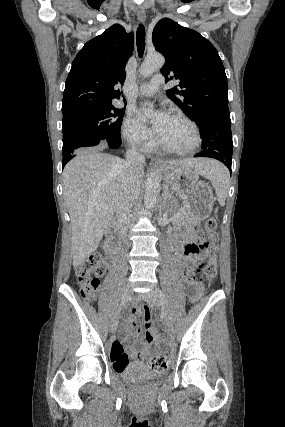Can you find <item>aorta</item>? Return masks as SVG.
Returning <instances> with one entry per match:
<instances>
[{"label":"aorta","instance_id":"aorta-1","mask_svg":"<svg viewBox=\"0 0 285 427\" xmlns=\"http://www.w3.org/2000/svg\"><path fill=\"white\" fill-rule=\"evenodd\" d=\"M165 63L163 55L153 53L146 56L144 62L139 68V73L143 77L152 75L155 71L161 69ZM160 189L159 172L154 170L150 173L145 184L144 205L146 209H152L157 201Z\"/></svg>","mask_w":285,"mask_h":427}]
</instances>
